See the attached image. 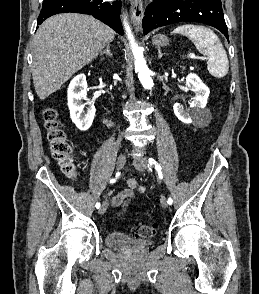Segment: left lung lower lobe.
Here are the masks:
<instances>
[{"mask_svg":"<svg viewBox=\"0 0 259 294\" xmlns=\"http://www.w3.org/2000/svg\"><path fill=\"white\" fill-rule=\"evenodd\" d=\"M182 21L213 26L228 39L221 0H151L142 20L143 32Z\"/></svg>","mask_w":259,"mask_h":294,"instance_id":"1","label":"left lung lower lobe"}]
</instances>
